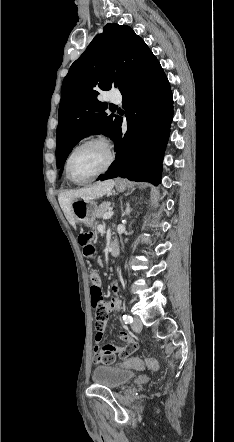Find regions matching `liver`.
Wrapping results in <instances>:
<instances>
[{
	"instance_id": "1",
	"label": "liver",
	"mask_w": 234,
	"mask_h": 442,
	"mask_svg": "<svg viewBox=\"0 0 234 442\" xmlns=\"http://www.w3.org/2000/svg\"><path fill=\"white\" fill-rule=\"evenodd\" d=\"M115 182L110 179L103 182H99L96 185H93L88 188H82L75 191H67L63 192L59 195L58 200L59 204L64 212L65 217L69 221V223L76 229V221L74 219V215L71 209V204L74 200L81 198L83 200H94L101 198L108 192L112 190Z\"/></svg>"
}]
</instances>
